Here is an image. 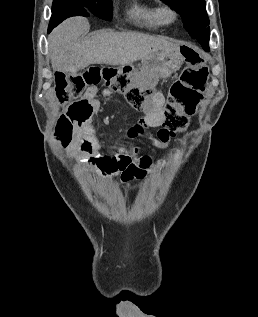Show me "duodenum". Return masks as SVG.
Segmentation results:
<instances>
[{
  "instance_id": "410a0bca",
  "label": "duodenum",
  "mask_w": 258,
  "mask_h": 317,
  "mask_svg": "<svg viewBox=\"0 0 258 317\" xmlns=\"http://www.w3.org/2000/svg\"><path fill=\"white\" fill-rule=\"evenodd\" d=\"M114 90L112 89V88H106V90H105V94L106 95H109V94H111L112 92H113ZM91 97L92 98H96L97 97V93H96V91H94L92 94H91Z\"/></svg>"
}]
</instances>
